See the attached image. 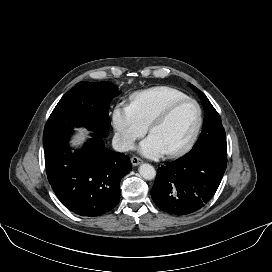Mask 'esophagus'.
Segmentation results:
<instances>
[{
  "mask_svg": "<svg viewBox=\"0 0 272 272\" xmlns=\"http://www.w3.org/2000/svg\"><path fill=\"white\" fill-rule=\"evenodd\" d=\"M131 163H132L133 166H137L140 163H142V160L140 158H138L137 156H133L131 158Z\"/></svg>",
  "mask_w": 272,
  "mask_h": 272,
  "instance_id": "1",
  "label": "esophagus"
}]
</instances>
